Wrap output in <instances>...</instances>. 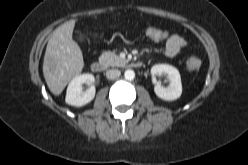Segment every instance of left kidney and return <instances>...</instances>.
Masks as SVG:
<instances>
[{
  "label": "left kidney",
  "mask_w": 248,
  "mask_h": 165,
  "mask_svg": "<svg viewBox=\"0 0 248 165\" xmlns=\"http://www.w3.org/2000/svg\"><path fill=\"white\" fill-rule=\"evenodd\" d=\"M151 74L153 82L155 83L154 92L159 98L165 101H174L181 96V77L179 71L175 67L168 64H157L151 68ZM161 74H166L169 79L170 83L166 88L156 82L155 76Z\"/></svg>",
  "instance_id": "left-kidney-1"
}]
</instances>
